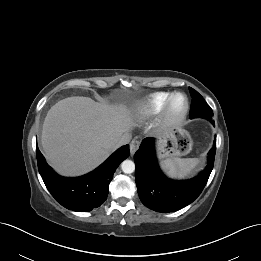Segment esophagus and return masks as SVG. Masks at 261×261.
<instances>
[{
	"mask_svg": "<svg viewBox=\"0 0 261 261\" xmlns=\"http://www.w3.org/2000/svg\"><path fill=\"white\" fill-rule=\"evenodd\" d=\"M139 147V141L138 140H132L131 143H130V153L131 155H133L136 150L138 149Z\"/></svg>",
	"mask_w": 261,
	"mask_h": 261,
	"instance_id": "obj_1",
	"label": "esophagus"
}]
</instances>
